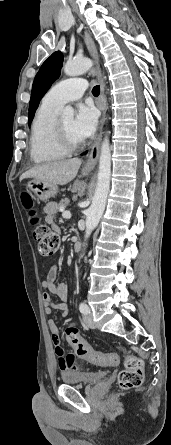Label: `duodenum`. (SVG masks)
<instances>
[{
  "mask_svg": "<svg viewBox=\"0 0 171 445\" xmlns=\"http://www.w3.org/2000/svg\"><path fill=\"white\" fill-rule=\"evenodd\" d=\"M81 247H82V243H81V240H80V238H75V240H74V249L76 250V251H80L81 250Z\"/></svg>",
  "mask_w": 171,
  "mask_h": 445,
  "instance_id": "obj_1",
  "label": "duodenum"
}]
</instances>
